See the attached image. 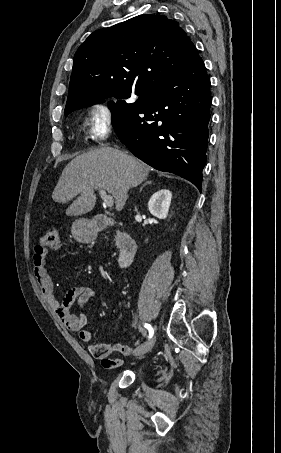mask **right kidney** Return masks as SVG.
<instances>
[{"instance_id":"right-kidney-1","label":"right kidney","mask_w":281,"mask_h":453,"mask_svg":"<svg viewBox=\"0 0 281 453\" xmlns=\"http://www.w3.org/2000/svg\"><path fill=\"white\" fill-rule=\"evenodd\" d=\"M172 194L168 188H161L152 194L148 208L151 214L157 216V218H166L171 202Z\"/></svg>"}]
</instances>
